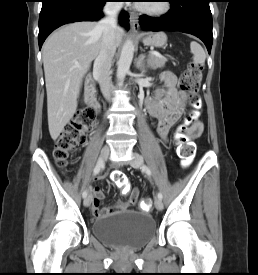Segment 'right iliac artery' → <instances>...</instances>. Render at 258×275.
<instances>
[{
    "label": "right iliac artery",
    "mask_w": 258,
    "mask_h": 275,
    "mask_svg": "<svg viewBox=\"0 0 258 275\" xmlns=\"http://www.w3.org/2000/svg\"><path fill=\"white\" fill-rule=\"evenodd\" d=\"M103 167H104V162H103L102 159H99L96 166H95V168H94L93 175L95 176V175L99 174ZM82 196H83V198H85L87 196V191L86 190L83 191Z\"/></svg>",
    "instance_id": "82829eb1"
}]
</instances>
